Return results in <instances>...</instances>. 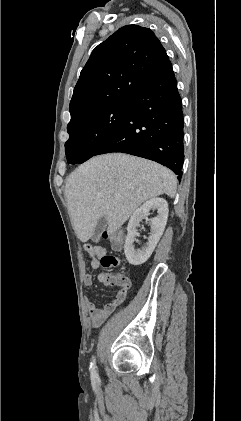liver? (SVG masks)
I'll return each instance as SVG.
<instances>
[{
	"label": "liver",
	"instance_id": "1",
	"mask_svg": "<svg viewBox=\"0 0 241 421\" xmlns=\"http://www.w3.org/2000/svg\"><path fill=\"white\" fill-rule=\"evenodd\" d=\"M177 178L156 162L123 153L96 156L67 179L65 196L77 237L87 242L101 217L116 232L145 201L166 194L173 198ZM114 194H119L114 198Z\"/></svg>",
	"mask_w": 241,
	"mask_h": 421
}]
</instances>
